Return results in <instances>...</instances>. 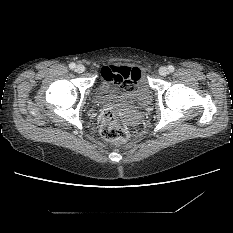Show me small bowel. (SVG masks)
<instances>
[{
  "label": "small bowel",
  "instance_id": "small-bowel-1",
  "mask_svg": "<svg viewBox=\"0 0 233 233\" xmlns=\"http://www.w3.org/2000/svg\"><path fill=\"white\" fill-rule=\"evenodd\" d=\"M120 68H122V66L106 65L102 68L101 74L103 77L116 80L115 72Z\"/></svg>",
  "mask_w": 233,
  "mask_h": 233
}]
</instances>
